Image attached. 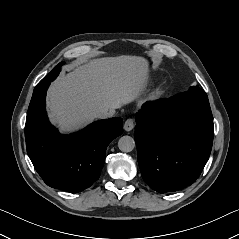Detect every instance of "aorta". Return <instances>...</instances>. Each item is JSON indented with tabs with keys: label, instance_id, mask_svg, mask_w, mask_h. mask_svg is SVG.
<instances>
[{
	"label": "aorta",
	"instance_id": "aorta-1",
	"mask_svg": "<svg viewBox=\"0 0 239 239\" xmlns=\"http://www.w3.org/2000/svg\"><path fill=\"white\" fill-rule=\"evenodd\" d=\"M118 147L122 152H131L135 148V140L131 136H122L118 141Z\"/></svg>",
	"mask_w": 239,
	"mask_h": 239
}]
</instances>
